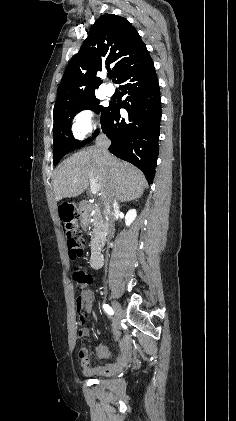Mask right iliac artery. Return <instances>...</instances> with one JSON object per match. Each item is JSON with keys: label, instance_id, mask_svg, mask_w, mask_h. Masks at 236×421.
<instances>
[{"label": "right iliac artery", "instance_id": "right-iliac-artery-1", "mask_svg": "<svg viewBox=\"0 0 236 421\" xmlns=\"http://www.w3.org/2000/svg\"><path fill=\"white\" fill-rule=\"evenodd\" d=\"M104 310L109 314V315H113V309L108 305V304H104L103 305Z\"/></svg>", "mask_w": 236, "mask_h": 421}]
</instances>
